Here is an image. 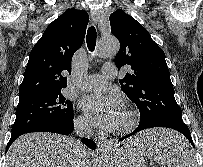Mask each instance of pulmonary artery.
<instances>
[{
    "mask_svg": "<svg viewBox=\"0 0 203 167\" xmlns=\"http://www.w3.org/2000/svg\"><path fill=\"white\" fill-rule=\"evenodd\" d=\"M117 75V68L114 64H105L101 74L88 76L81 83V88L85 90H99L106 86L107 80Z\"/></svg>",
    "mask_w": 203,
    "mask_h": 167,
    "instance_id": "obj_1",
    "label": "pulmonary artery"
}]
</instances>
